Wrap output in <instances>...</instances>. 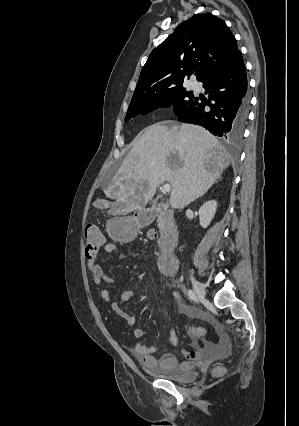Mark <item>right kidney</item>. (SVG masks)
Instances as JSON below:
<instances>
[{"instance_id": "ca27d5eb", "label": "right kidney", "mask_w": 299, "mask_h": 426, "mask_svg": "<svg viewBox=\"0 0 299 426\" xmlns=\"http://www.w3.org/2000/svg\"><path fill=\"white\" fill-rule=\"evenodd\" d=\"M216 209H217V202L215 200L207 201L200 207L199 220H200V225L203 228H207L210 225L216 213Z\"/></svg>"}]
</instances>
